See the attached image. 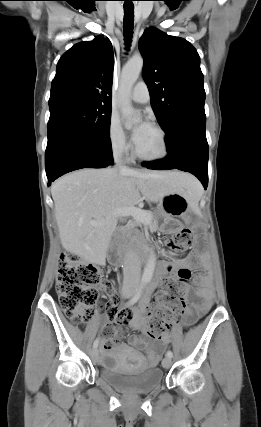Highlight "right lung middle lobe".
Masks as SVG:
<instances>
[{"mask_svg": "<svg viewBox=\"0 0 261 427\" xmlns=\"http://www.w3.org/2000/svg\"><path fill=\"white\" fill-rule=\"evenodd\" d=\"M111 106L67 104L50 109L48 141L69 137L80 140L110 141Z\"/></svg>", "mask_w": 261, "mask_h": 427, "instance_id": "1", "label": "right lung middle lobe"}]
</instances>
